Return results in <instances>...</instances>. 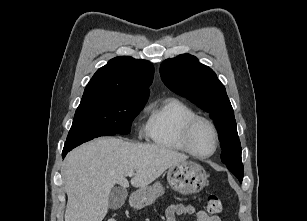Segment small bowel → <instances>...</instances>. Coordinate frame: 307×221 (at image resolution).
Here are the masks:
<instances>
[{"mask_svg":"<svg viewBox=\"0 0 307 221\" xmlns=\"http://www.w3.org/2000/svg\"><path fill=\"white\" fill-rule=\"evenodd\" d=\"M166 220L176 221L179 215H195L197 221H222L221 218L214 214H208L204 210H196L192 205L172 204L166 210Z\"/></svg>","mask_w":307,"mask_h":221,"instance_id":"small-bowel-1","label":"small bowel"}]
</instances>
